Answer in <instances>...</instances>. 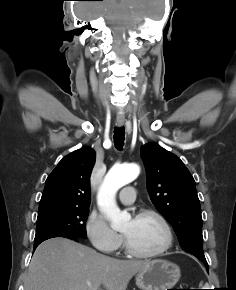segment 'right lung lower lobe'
Returning <instances> with one entry per match:
<instances>
[{"instance_id": "obj_1", "label": "right lung lower lobe", "mask_w": 236, "mask_h": 290, "mask_svg": "<svg viewBox=\"0 0 236 290\" xmlns=\"http://www.w3.org/2000/svg\"><path fill=\"white\" fill-rule=\"evenodd\" d=\"M75 240V239H74ZM41 242L39 243H34V250L36 249V247L40 244Z\"/></svg>"}]
</instances>
